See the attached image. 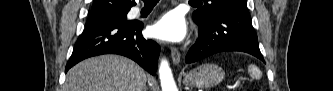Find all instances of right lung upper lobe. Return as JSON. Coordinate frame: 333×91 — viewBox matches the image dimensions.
I'll return each instance as SVG.
<instances>
[{
  "label": "right lung upper lobe",
  "mask_w": 333,
  "mask_h": 91,
  "mask_svg": "<svg viewBox=\"0 0 333 91\" xmlns=\"http://www.w3.org/2000/svg\"><path fill=\"white\" fill-rule=\"evenodd\" d=\"M134 5L135 0H94L89 19H102L127 12Z\"/></svg>",
  "instance_id": "right-lung-upper-lobe-1"
}]
</instances>
